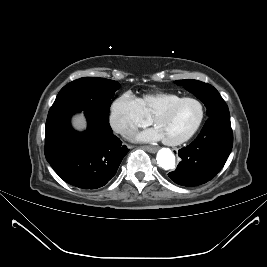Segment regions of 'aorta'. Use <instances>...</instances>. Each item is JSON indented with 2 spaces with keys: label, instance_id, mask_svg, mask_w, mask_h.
<instances>
[{
  "label": "aorta",
  "instance_id": "762f6f07",
  "mask_svg": "<svg viewBox=\"0 0 267 267\" xmlns=\"http://www.w3.org/2000/svg\"><path fill=\"white\" fill-rule=\"evenodd\" d=\"M157 164L164 170L173 169L175 167V156L170 149H161L157 153Z\"/></svg>",
  "mask_w": 267,
  "mask_h": 267
}]
</instances>
